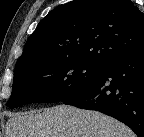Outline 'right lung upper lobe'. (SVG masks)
Instances as JSON below:
<instances>
[{"label": "right lung upper lobe", "mask_w": 144, "mask_h": 137, "mask_svg": "<svg viewBox=\"0 0 144 137\" xmlns=\"http://www.w3.org/2000/svg\"><path fill=\"white\" fill-rule=\"evenodd\" d=\"M144 47V14L130 0H74L38 24L15 67L78 58L103 66Z\"/></svg>", "instance_id": "right-lung-upper-lobe-1"}]
</instances>
